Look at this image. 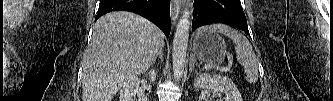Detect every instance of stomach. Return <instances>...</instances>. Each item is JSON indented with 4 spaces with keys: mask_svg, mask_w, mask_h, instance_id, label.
<instances>
[{
    "mask_svg": "<svg viewBox=\"0 0 333 101\" xmlns=\"http://www.w3.org/2000/svg\"><path fill=\"white\" fill-rule=\"evenodd\" d=\"M192 51L201 61L219 64L226 55V43L216 32H198L193 40Z\"/></svg>",
    "mask_w": 333,
    "mask_h": 101,
    "instance_id": "0dacf381",
    "label": "stomach"
}]
</instances>
